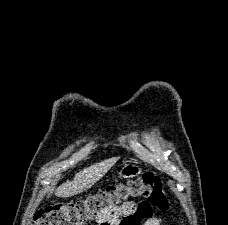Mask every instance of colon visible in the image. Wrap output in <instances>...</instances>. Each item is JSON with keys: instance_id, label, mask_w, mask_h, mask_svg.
I'll list each match as a JSON object with an SVG mask.
<instances>
[{"instance_id": "obj_1", "label": "colon", "mask_w": 228, "mask_h": 225, "mask_svg": "<svg viewBox=\"0 0 228 225\" xmlns=\"http://www.w3.org/2000/svg\"><path fill=\"white\" fill-rule=\"evenodd\" d=\"M129 197H142L159 209H166L169 205L161 179L146 173L129 182L104 187L85 200L59 202L40 208L33 225H89L97 216H104L102 212H114Z\"/></svg>"}]
</instances>
